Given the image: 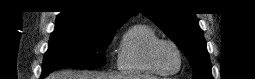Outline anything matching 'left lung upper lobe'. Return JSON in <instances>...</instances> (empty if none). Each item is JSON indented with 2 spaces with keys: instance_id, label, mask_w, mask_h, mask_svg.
Wrapping results in <instances>:
<instances>
[{
  "instance_id": "5c2ea615",
  "label": "left lung upper lobe",
  "mask_w": 255,
  "mask_h": 79,
  "mask_svg": "<svg viewBox=\"0 0 255 79\" xmlns=\"http://www.w3.org/2000/svg\"><path fill=\"white\" fill-rule=\"evenodd\" d=\"M143 14L149 17L181 49L194 70V79H213L203 32L194 13H181L167 1H151Z\"/></svg>"
}]
</instances>
